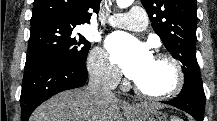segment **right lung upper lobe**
<instances>
[{
  "label": "right lung upper lobe",
  "mask_w": 217,
  "mask_h": 121,
  "mask_svg": "<svg viewBox=\"0 0 217 121\" xmlns=\"http://www.w3.org/2000/svg\"><path fill=\"white\" fill-rule=\"evenodd\" d=\"M101 0H34L31 24L56 21L71 25L90 23L93 9L98 13Z\"/></svg>",
  "instance_id": "cb5924a9"
}]
</instances>
